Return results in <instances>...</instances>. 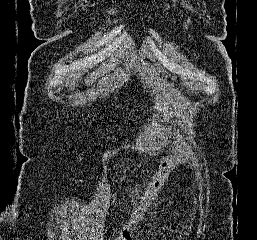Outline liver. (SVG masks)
<instances>
[{
	"label": "liver",
	"instance_id": "obj_1",
	"mask_svg": "<svg viewBox=\"0 0 257 240\" xmlns=\"http://www.w3.org/2000/svg\"><path fill=\"white\" fill-rule=\"evenodd\" d=\"M79 76H80V74H74V75H72L73 78L79 77ZM71 83H72V85H74V84H75V80L73 79V80L71 81Z\"/></svg>",
	"mask_w": 257,
	"mask_h": 240
}]
</instances>
